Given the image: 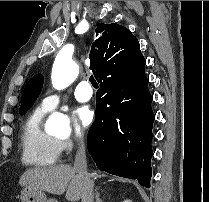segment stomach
<instances>
[{"label":"stomach","mask_w":209,"mask_h":202,"mask_svg":"<svg viewBox=\"0 0 209 202\" xmlns=\"http://www.w3.org/2000/svg\"><path fill=\"white\" fill-rule=\"evenodd\" d=\"M21 202H57L55 199H48L44 191L31 187H24L20 194Z\"/></svg>","instance_id":"0dacf381"}]
</instances>
